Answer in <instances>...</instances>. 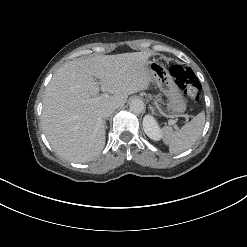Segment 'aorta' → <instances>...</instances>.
<instances>
[{
	"label": "aorta",
	"mask_w": 247,
	"mask_h": 247,
	"mask_svg": "<svg viewBox=\"0 0 247 247\" xmlns=\"http://www.w3.org/2000/svg\"><path fill=\"white\" fill-rule=\"evenodd\" d=\"M129 108L133 113L140 114L144 110V102L141 99H132Z\"/></svg>",
	"instance_id": "762f6f07"
}]
</instances>
